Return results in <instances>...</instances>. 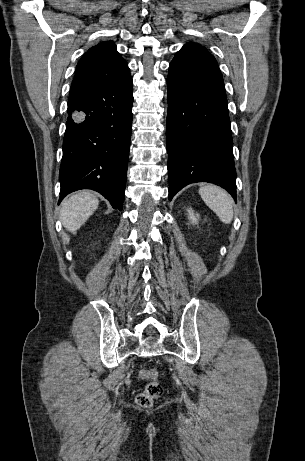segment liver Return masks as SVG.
Listing matches in <instances>:
<instances>
[{
	"label": "liver",
	"instance_id": "obj_1",
	"mask_svg": "<svg viewBox=\"0 0 305 461\" xmlns=\"http://www.w3.org/2000/svg\"><path fill=\"white\" fill-rule=\"evenodd\" d=\"M97 197L89 191H81L62 202L60 218L63 226L75 234L98 208Z\"/></svg>",
	"mask_w": 305,
	"mask_h": 461
}]
</instances>
